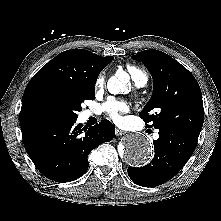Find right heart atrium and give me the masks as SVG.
<instances>
[{"mask_svg":"<svg viewBox=\"0 0 221 221\" xmlns=\"http://www.w3.org/2000/svg\"><path fill=\"white\" fill-rule=\"evenodd\" d=\"M104 82H105V79H104V75L103 74H100L97 79H96V82H95V87L97 90L99 89H102L103 86H104Z\"/></svg>","mask_w":221,"mask_h":221,"instance_id":"1","label":"right heart atrium"}]
</instances>
